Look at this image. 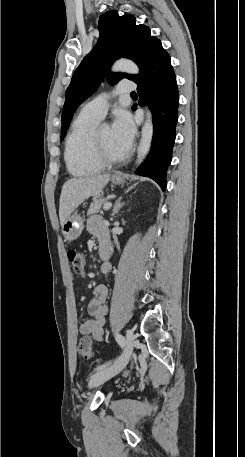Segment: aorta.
<instances>
[{
	"instance_id": "aorta-1",
	"label": "aorta",
	"mask_w": 245,
	"mask_h": 457,
	"mask_svg": "<svg viewBox=\"0 0 245 457\" xmlns=\"http://www.w3.org/2000/svg\"><path fill=\"white\" fill-rule=\"evenodd\" d=\"M112 71L117 72H126L129 74H138L139 73V68L138 66L127 59H120L115 64L112 66ZM153 138V123H152V115L150 111L146 112V120L145 123L142 127V132H141V139L140 143L137 149V161L136 164L139 165L147 153L149 152L151 142Z\"/></svg>"
}]
</instances>
